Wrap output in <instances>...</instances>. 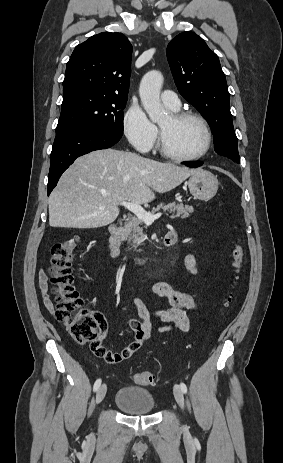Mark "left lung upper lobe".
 Returning <instances> with one entry per match:
<instances>
[{
  "instance_id": "1",
  "label": "left lung upper lobe",
  "mask_w": 283,
  "mask_h": 463,
  "mask_svg": "<svg viewBox=\"0 0 283 463\" xmlns=\"http://www.w3.org/2000/svg\"><path fill=\"white\" fill-rule=\"evenodd\" d=\"M167 58L178 91L209 122L215 152L239 163L230 96L218 56L201 37L186 31L168 44Z\"/></svg>"
}]
</instances>
